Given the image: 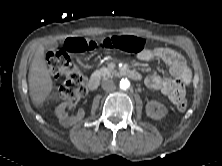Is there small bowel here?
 <instances>
[{
  "instance_id": "c3829d8e",
  "label": "small bowel",
  "mask_w": 222,
  "mask_h": 166,
  "mask_svg": "<svg viewBox=\"0 0 222 166\" xmlns=\"http://www.w3.org/2000/svg\"><path fill=\"white\" fill-rule=\"evenodd\" d=\"M138 59L141 61L160 59L169 65L174 77L173 80H169L158 75H150L145 79L149 89L160 91L174 105L185 97V86L191 82L192 74L181 54L167 47H155L139 52Z\"/></svg>"
}]
</instances>
